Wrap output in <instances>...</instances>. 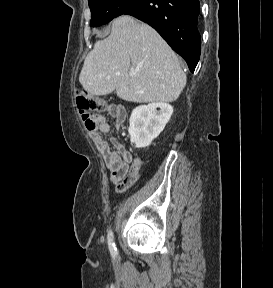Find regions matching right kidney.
Segmentation results:
<instances>
[{
    "label": "right kidney",
    "mask_w": 273,
    "mask_h": 288,
    "mask_svg": "<svg viewBox=\"0 0 273 288\" xmlns=\"http://www.w3.org/2000/svg\"><path fill=\"white\" fill-rule=\"evenodd\" d=\"M173 107L156 102L136 107L130 116L128 129L131 142L137 148H145L159 136L171 118Z\"/></svg>",
    "instance_id": "right-kidney-1"
}]
</instances>
